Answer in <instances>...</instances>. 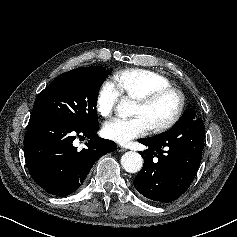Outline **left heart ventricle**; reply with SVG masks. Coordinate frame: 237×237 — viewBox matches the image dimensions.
<instances>
[{"label": "left heart ventricle", "instance_id": "obj_1", "mask_svg": "<svg viewBox=\"0 0 237 237\" xmlns=\"http://www.w3.org/2000/svg\"><path fill=\"white\" fill-rule=\"evenodd\" d=\"M176 107V96L166 95L150 106L136 102L132 115L143 117L148 126L152 127L169 119L175 112Z\"/></svg>", "mask_w": 237, "mask_h": 237}]
</instances>
